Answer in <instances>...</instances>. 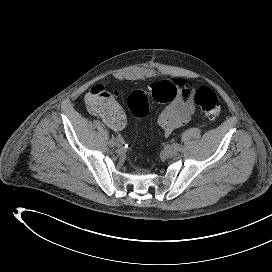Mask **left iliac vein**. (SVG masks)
I'll list each match as a JSON object with an SVG mask.
<instances>
[{
    "instance_id": "obj_1",
    "label": "left iliac vein",
    "mask_w": 272,
    "mask_h": 272,
    "mask_svg": "<svg viewBox=\"0 0 272 272\" xmlns=\"http://www.w3.org/2000/svg\"><path fill=\"white\" fill-rule=\"evenodd\" d=\"M165 153L169 157L177 156V151L173 147H167L166 150H165Z\"/></svg>"
}]
</instances>
